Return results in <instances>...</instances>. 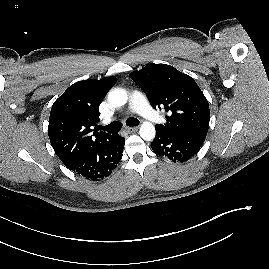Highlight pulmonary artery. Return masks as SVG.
I'll return each instance as SVG.
<instances>
[{
	"label": "pulmonary artery",
	"mask_w": 269,
	"mask_h": 269,
	"mask_svg": "<svg viewBox=\"0 0 269 269\" xmlns=\"http://www.w3.org/2000/svg\"><path fill=\"white\" fill-rule=\"evenodd\" d=\"M129 108L131 112H136L150 121L157 122L160 119L157 113L150 107L145 96L138 91H134L131 94Z\"/></svg>",
	"instance_id": "e3ab8cb5"
}]
</instances>
